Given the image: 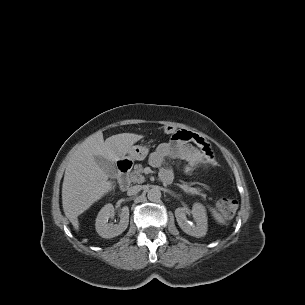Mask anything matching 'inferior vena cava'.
Masks as SVG:
<instances>
[{"mask_svg": "<svg viewBox=\"0 0 305 305\" xmlns=\"http://www.w3.org/2000/svg\"><path fill=\"white\" fill-rule=\"evenodd\" d=\"M142 190V186L140 185H135V186H132L128 189L127 191V195L131 196V195H135L137 194L138 192H140Z\"/></svg>", "mask_w": 305, "mask_h": 305, "instance_id": "obj_1", "label": "inferior vena cava"}]
</instances>
